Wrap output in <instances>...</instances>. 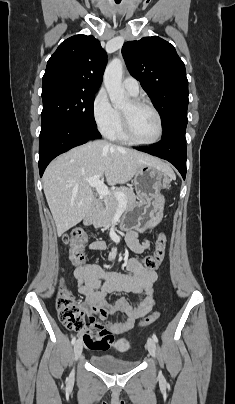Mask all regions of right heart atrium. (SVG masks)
Returning a JSON list of instances; mask_svg holds the SVG:
<instances>
[{
  "label": "right heart atrium",
  "mask_w": 235,
  "mask_h": 404,
  "mask_svg": "<svg viewBox=\"0 0 235 404\" xmlns=\"http://www.w3.org/2000/svg\"><path fill=\"white\" fill-rule=\"evenodd\" d=\"M92 115L98 129L104 134H110L116 126L118 111L112 106L104 89L97 92L92 102Z\"/></svg>",
  "instance_id": "right-heart-atrium-1"
}]
</instances>
